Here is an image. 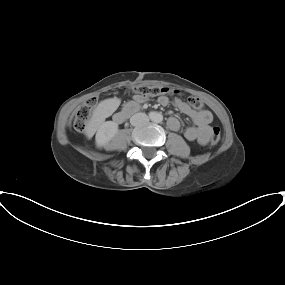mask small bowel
I'll list each match as a JSON object with an SVG mask.
<instances>
[{"label": "small bowel", "instance_id": "1", "mask_svg": "<svg viewBox=\"0 0 285 285\" xmlns=\"http://www.w3.org/2000/svg\"><path fill=\"white\" fill-rule=\"evenodd\" d=\"M145 101V97L135 95L132 101H130L128 104L133 103L138 106ZM159 102L162 105H166L168 103V99L166 97H160ZM174 105L180 112L187 115L194 123V126H190L185 129L184 137L188 141H197L202 145L208 144L211 135L210 123L213 120L212 113L208 110H195L179 98L174 100ZM168 127L172 131H179L181 127L179 119L176 117L169 118Z\"/></svg>", "mask_w": 285, "mask_h": 285}]
</instances>
